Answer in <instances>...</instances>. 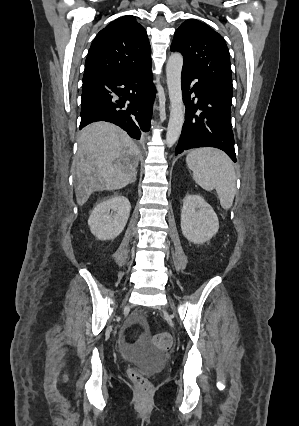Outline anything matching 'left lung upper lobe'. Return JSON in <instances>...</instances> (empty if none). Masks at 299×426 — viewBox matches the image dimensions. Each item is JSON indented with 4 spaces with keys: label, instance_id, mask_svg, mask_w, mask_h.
I'll return each instance as SVG.
<instances>
[{
    "label": "left lung upper lobe",
    "instance_id": "left-lung-upper-lobe-1",
    "mask_svg": "<svg viewBox=\"0 0 299 426\" xmlns=\"http://www.w3.org/2000/svg\"><path fill=\"white\" fill-rule=\"evenodd\" d=\"M171 50L184 57V67L232 98L230 54L223 37L205 23L188 19L176 30Z\"/></svg>",
    "mask_w": 299,
    "mask_h": 426
}]
</instances>
